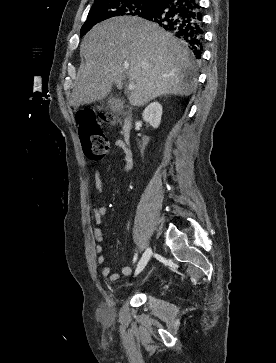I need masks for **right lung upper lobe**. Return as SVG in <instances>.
<instances>
[{
  "instance_id": "right-lung-upper-lobe-1",
  "label": "right lung upper lobe",
  "mask_w": 276,
  "mask_h": 363,
  "mask_svg": "<svg viewBox=\"0 0 276 363\" xmlns=\"http://www.w3.org/2000/svg\"><path fill=\"white\" fill-rule=\"evenodd\" d=\"M95 1H99V0H95ZM143 1H149L152 4L158 5L162 0H143Z\"/></svg>"
}]
</instances>
